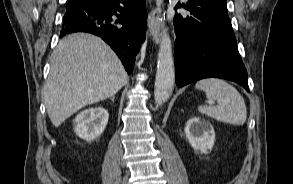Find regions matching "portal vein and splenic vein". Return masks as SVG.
<instances>
[{
	"instance_id": "portal-vein-and-splenic-vein-1",
	"label": "portal vein and splenic vein",
	"mask_w": 293,
	"mask_h": 184,
	"mask_svg": "<svg viewBox=\"0 0 293 184\" xmlns=\"http://www.w3.org/2000/svg\"><path fill=\"white\" fill-rule=\"evenodd\" d=\"M209 103H210V104H213L214 102H213V101H209Z\"/></svg>"
}]
</instances>
